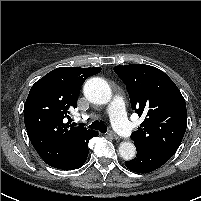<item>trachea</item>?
Segmentation results:
<instances>
[{
    "mask_svg": "<svg viewBox=\"0 0 201 201\" xmlns=\"http://www.w3.org/2000/svg\"><path fill=\"white\" fill-rule=\"evenodd\" d=\"M89 128L98 130L101 133H106L107 132V126L103 122L100 121H94L91 125H89Z\"/></svg>",
    "mask_w": 201,
    "mask_h": 201,
    "instance_id": "1",
    "label": "trachea"
}]
</instances>
